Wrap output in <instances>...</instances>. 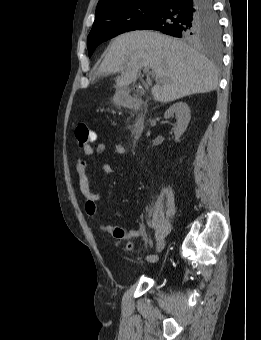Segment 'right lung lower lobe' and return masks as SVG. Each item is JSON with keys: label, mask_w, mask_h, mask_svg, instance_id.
<instances>
[{"label": "right lung lower lobe", "mask_w": 261, "mask_h": 340, "mask_svg": "<svg viewBox=\"0 0 261 340\" xmlns=\"http://www.w3.org/2000/svg\"><path fill=\"white\" fill-rule=\"evenodd\" d=\"M213 12L212 0H162L154 15L135 30H157L180 37L188 19Z\"/></svg>", "instance_id": "1"}]
</instances>
